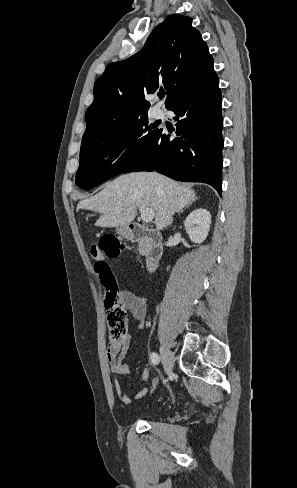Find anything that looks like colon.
<instances>
[{"label":"colon","mask_w":297,"mask_h":488,"mask_svg":"<svg viewBox=\"0 0 297 488\" xmlns=\"http://www.w3.org/2000/svg\"><path fill=\"white\" fill-rule=\"evenodd\" d=\"M126 250L117 237L112 234L104 235L99 245L91 248V255L96 260L94 268L100 281L105 288V308L107 311V322L110 332V343L114 350L121 347V343L126 336V315L120 298L118 284L114 273L104 255L108 258H117ZM149 390L150 396H155L158 388L157 382L151 383Z\"/></svg>","instance_id":"colon-1"}]
</instances>
